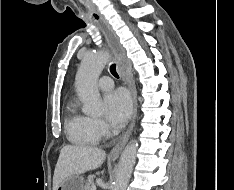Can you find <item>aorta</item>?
Instances as JSON below:
<instances>
[{"label": "aorta", "instance_id": "obj_1", "mask_svg": "<svg viewBox=\"0 0 234 190\" xmlns=\"http://www.w3.org/2000/svg\"><path fill=\"white\" fill-rule=\"evenodd\" d=\"M108 53L97 51L85 55L76 75V89L86 114H98L101 96L97 88L98 78L108 62ZM138 142L131 140L123 150L112 190H126L135 164Z\"/></svg>", "mask_w": 234, "mask_h": 190}]
</instances>
